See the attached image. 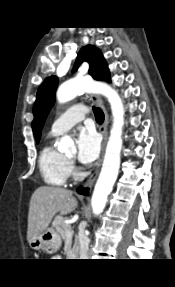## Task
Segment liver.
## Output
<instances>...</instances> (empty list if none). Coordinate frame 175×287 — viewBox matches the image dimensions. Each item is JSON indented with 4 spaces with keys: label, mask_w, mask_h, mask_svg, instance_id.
I'll return each instance as SVG.
<instances>
[{
    "label": "liver",
    "mask_w": 175,
    "mask_h": 287,
    "mask_svg": "<svg viewBox=\"0 0 175 287\" xmlns=\"http://www.w3.org/2000/svg\"><path fill=\"white\" fill-rule=\"evenodd\" d=\"M77 205L78 202L70 190L53 186L38 187L32 194L29 204L28 242L46 230L58 212L61 215L70 214Z\"/></svg>",
    "instance_id": "1"
}]
</instances>
